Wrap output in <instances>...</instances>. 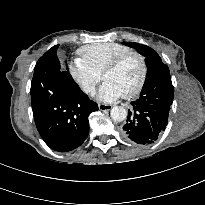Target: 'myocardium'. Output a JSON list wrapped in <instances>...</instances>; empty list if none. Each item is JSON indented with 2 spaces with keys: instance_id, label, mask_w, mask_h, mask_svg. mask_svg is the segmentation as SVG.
Segmentation results:
<instances>
[{
  "instance_id": "obj_1",
  "label": "myocardium",
  "mask_w": 205,
  "mask_h": 205,
  "mask_svg": "<svg viewBox=\"0 0 205 205\" xmlns=\"http://www.w3.org/2000/svg\"><path fill=\"white\" fill-rule=\"evenodd\" d=\"M130 57H135L139 61L140 76H139L138 82L135 85V87L132 90H130L129 92L124 94L125 98H133V97L137 96L141 92V90L143 89V87L145 85L147 75H148V66H147V62H146L145 57L142 54H140L139 52L130 50L128 52H125V53L118 55L113 60H111L105 66V68L103 69V71L101 73L102 79H104L105 75L108 72H111V71L117 69L125 60H127Z\"/></svg>"
}]
</instances>
